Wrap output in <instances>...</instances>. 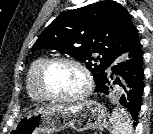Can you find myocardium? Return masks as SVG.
I'll use <instances>...</instances> for the list:
<instances>
[{
    "label": "myocardium",
    "mask_w": 153,
    "mask_h": 134,
    "mask_svg": "<svg viewBox=\"0 0 153 134\" xmlns=\"http://www.w3.org/2000/svg\"><path fill=\"white\" fill-rule=\"evenodd\" d=\"M58 63H66L73 65L82 72L85 80V86L84 89L79 94L70 97H61L50 93L46 89L45 86L46 73L52 65ZM37 87L41 95L46 100L59 102V103H76L86 99L90 95L93 89V77L88 67L81 61L70 57H53L46 59L44 63L41 65L37 74Z\"/></svg>",
    "instance_id": "1"
}]
</instances>
